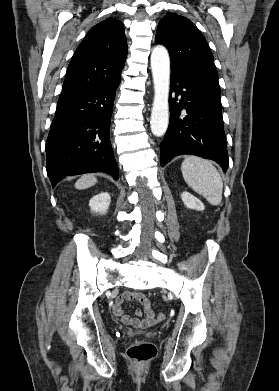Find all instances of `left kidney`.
I'll list each match as a JSON object with an SVG mask.
<instances>
[{
    "mask_svg": "<svg viewBox=\"0 0 279 391\" xmlns=\"http://www.w3.org/2000/svg\"><path fill=\"white\" fill-rule=\"evenodd\" d=\"M182 201L184 202L185 206L189 209H195L198 211H202L205 209L204 204L194 195L191 193L184 191L181 194Z\"/></svg>",
    "mask_w": 279,
    "mask_h": 391,
    "instance_id": "left-kidney-1",
    "label": "left kidney"
}]
</instances>
